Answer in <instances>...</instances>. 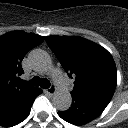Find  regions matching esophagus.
Returning <instances> with one entry per match:
<instances>
[{
	"instance_id": "1",
	"label": "esophagus",
	"mask_w": 128,
	"mask_h": 128,
	"mask_svg": "<svg viewBox=\"0 0 128 128\" xmlns=\"http://www.w3.org/2000/svg\"><path fill=\"white\" fill-rule=\"evenodd\" d=\"M56 92L55 85H51L48 89H46V93L49 95H53Z\"/></svg>"
}]
</instances>
